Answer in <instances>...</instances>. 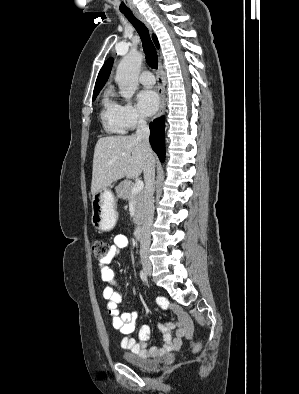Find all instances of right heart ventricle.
<instances>
[{
    "instance_id": "e07e8e85",
    "label": "right heart ventricle",
    "mask_w": 299,
    "mask_h": 394,
    "mask_svg": "<svg viewBox=\"0 0 299 394\" xmlns=\"http://www.w3.org/2000/svg\"><path fill=\"white\" fill-rule=\"evenodd\" d=\"M118 105L111 98L110 92L106 91L102 100L101 119L105 129L113 134H121L125 131Z\"/></svg>"
}]
</instances>
